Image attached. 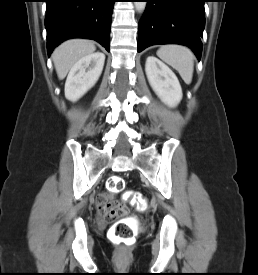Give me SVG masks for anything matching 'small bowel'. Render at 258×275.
Segmentation results:
<instances>
[{
    "mask_svg": "<svg viewBox=\"0 0 258 275\" xmlns=\"http://www.w3.org/2000/svg\"><path fill=\"white\" fill-rule=\"evenodd\" d=\"M109 205H111L110 198L105 194L100 195L97 200V209L102 216L103 212L108 208Z\"/></svg>",
    "mask_w": 258,
    "mask_h": 275,
    "instance_id": "small-bowel-1",
    "label": "small bowel"
}]
</instances>
